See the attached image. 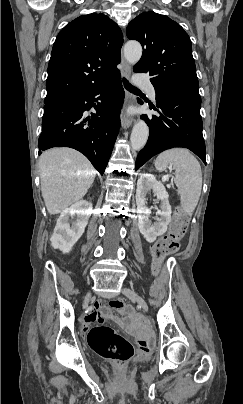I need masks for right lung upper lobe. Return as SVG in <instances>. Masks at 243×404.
Wrapping results in <instances>:
<instances>
[{"label": "right lung upper lobe", "mask_w": 243, "mask_h": 404, "mask_svg": "<svg viewBox=\"0 0 243 404\" xmlns=\"http://www.w3.org/2000/svg\"><path fill=\"white\" fill-rule=\"evenodd\" d=\"M123 35L104 14L82 15L58 34L48 65L44 103L86 93L120 76Z\"/></svg>", "instance_id": "right-lung-upper-lobe-1"}]
</instances>
